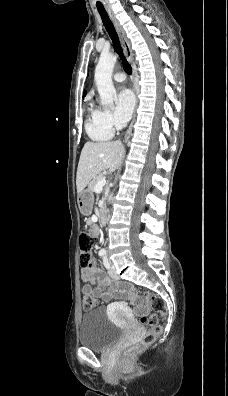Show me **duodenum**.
<instances>
[{
  "mask_svg": "<svg viewBox=\"0 0 228 396\" xmlns=\"http://www.w3.org/2000/svg\"><path fill=\"white\" fill-rule=\"evenodd\" d=\"M99 221L101 224H106V210L105 207H102L99 212Z\"/></svg>",
  "mask_w": 228,
  "mask_h": 396,
  "instance_id": "410a0bca",
  "label": "duodenum"
}]
</instances>
